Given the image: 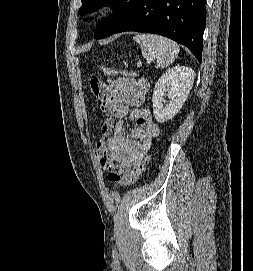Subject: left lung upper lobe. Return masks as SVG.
<instances>
[{"mask_svg":"<svg viewBox=\"0 0 253 271\" xmlns=\"http://www.w3.org/2000/svg\"><path fill=\"white\" fill-rule=\"evenodd\" d=\"M134 0H82L79 9L81 15L94 12L103 6H111L113 14L98 22L95 38L101 39L110 36L128 17Z\"/></svg>","mask_w":253,"mask_h":271,"instance_id":"left-lung-upper-lobe-1","label":"left lung upper lobe"}]
</instances>
